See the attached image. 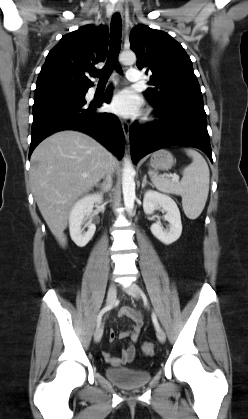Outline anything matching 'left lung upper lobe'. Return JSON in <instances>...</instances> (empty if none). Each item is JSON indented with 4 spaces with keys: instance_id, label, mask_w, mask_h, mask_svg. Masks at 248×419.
<instances>
[{
    "instance_id": "left-lung-upper-lobe-1",
    "label": "left lung upper lobe",
    "mask_w": 248,
    "mask_h": 419,
    "mask_svg": "<svg viewBox=\"0 0 248 419\" xmlns=\"http://www.w3.org/2000/svg\"><path fill=\"white\" fill-rule=\"evenodd\" d=\"M130 44L137 56V67L152 72L149 84L153 87L145 96L154 108L203 102L189 56L168 33L138 25L131 30Z\"/></svg>"
}]
</instances>
